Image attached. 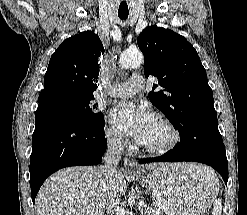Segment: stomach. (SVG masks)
<instances>
[{"label": "stomach", "mask_w": 247, "mask_h": 215, "mask_svg": "<svg viewBox=\"0 0 247 215\" xmlns=\"http://www.w3.org/2000/svg\"><path fill=\"white\" fill-rule=\"evenodd\" d=\"M197 167V171L188 172L184 164H163L140 176V181L165 215H201L216 197L219 183L215 173H209L205 166Z\"/></svg>", "instance_id": "1"}]
</instances>
